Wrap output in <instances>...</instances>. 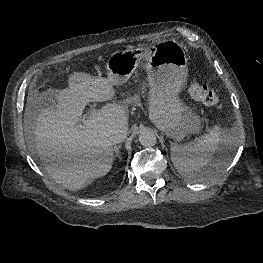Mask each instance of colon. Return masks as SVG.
I'll list each match as a JSON object with an SVG mask.
<instances>
[{"mask_svg":"<svg viewBox=\"0 0 263 263\" xmlns=\"http://www.w3.org/2000/svg\"><path fill=\"white\" fill-rule=\"evenodd\" d=\"M189 94L192 99L209 107H219L217 94L206 84L194 81L189 86Z\"/></svg>","mask_w":263,"mask_h":263,"instance_id":"5ec220e1","label":"colon"}]
</instances>
